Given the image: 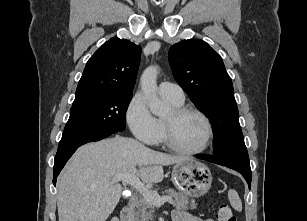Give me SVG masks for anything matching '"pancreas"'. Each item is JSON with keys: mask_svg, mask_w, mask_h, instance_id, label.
<instances>
[{"mask_svg": "<svg viewBox=\"0 0 307 221\" xmlns=\"http://www.w3.org/2000/svg\"><path fill=\"white\" fill-rule=\"evenodd\" d=\"M153 192L157 193V190H153ZM169 197H171L173 201V206L176 209L189 210L195 209L196 204L194 201H190L189 198L181 193L176 192L174 189H168L165 191ZM154 206L147 202L145 198H141L137 204V210L134 212L132 216V221H151L154 218Z\"/></svg>", "mask_w": 307, "mask_h": 221, "instance_id": "obj_1", "label": "pancreas"}]
</instances>
